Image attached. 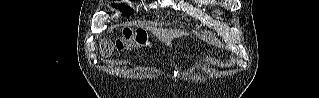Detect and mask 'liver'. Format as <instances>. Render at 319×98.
I'll return each mask as SVG.
<instances>
[{
	"instance_id": "obj_1",
	"label": "liver",
	"mask_w": 319,
	"mask_h": 98,
	"mask_svg": "<svg viewBox=\"0 0 319 98\" xmlns=\"http://www.w3.org/2000/svg\"><path fill=\"white\" fill-rule=\"evenodd\" d=\"M153 33L160 39L167 41L173 37H179L182 34L173 30L167 29H152Z\"/></svg>"
}]
</instances>
